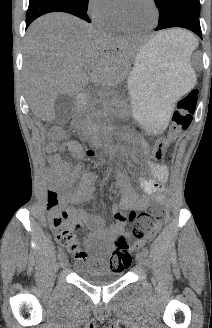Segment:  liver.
<instances>
[{
  "label": "liver",
  "mask_w": 212,
  "mask_h": 328,
  "mask_svg": "<svg viewBox=\"0 0 212 328\" xmlns=\"http://www.w3.org/2000/svg\"><path fill=\"white\" fill-rule=\"evenodd\" d=\"M178 33L162 31L152 39L174 44ZM137 49L134 39L104 33L70 14L38 18L27 30L24 47V81L32 113L51 122L57 96H76L89 84L102 89L121 84L129 77Z\"/></svg>",
  "instance_id": "6515ba94"
}]
</instances>
